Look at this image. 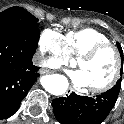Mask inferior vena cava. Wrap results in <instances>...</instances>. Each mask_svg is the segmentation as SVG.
Here are the masks:
<instances>
[{"label": "inferior vena cava", "instance_id": "inferior-vena-cava-1", "mask_svg": "<svg viewBox=\"0 0 124 124\" xmlns=\"http://www.w3.org/2000/svg\"><path fill=\"white\" fill-rule=\"evenodd\" d=\"M33 62L37 66H42L44 64V60L42 56L39 54L34 57Z\"/></svg>", "mask_w": 124, "mask_h": 124}]
</instances>
